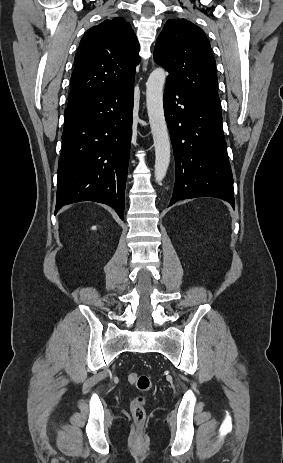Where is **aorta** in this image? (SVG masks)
Listing matches in <instances>:
<instances>
[{"instance_id": "aorta-1", "label": "aorta", "mask_w": 283, "mask_h": 463, "mask_svg": "<svg viewBox=\"0 0 283 463\" xmlns=\"http://www.w3.org/2000/svg\"><path fill=\"white\" fill-rule=\"evenodd\" d=\"M166 72L153 70L146 83V106L155 147V180L161 184L170 163V140L163 109V87Z\"/></svg>"}]
</instances>
